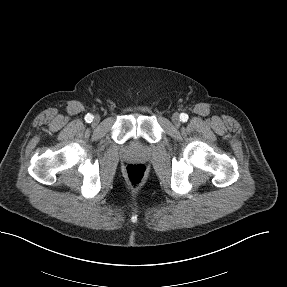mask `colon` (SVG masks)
Instances as JSON below:
<instances>
[{
  "mask_svg": "<svg viewBox=\"0 0 287 287\" xmlns=\"http://www.w3.org/2000/svg\"><path fill=\"white\" fill-rule=\"evenodd\" d=\"M124 174L127 181L132 187H138L142 184L146 177L147 168L144 164L131 163L126 165L124 169Z\"/></svg>",
  "mask_w": 287,
  "mask_h": 287,
  "instance_id": "colon-1",
  "label": "colon"
}]
</instances>
